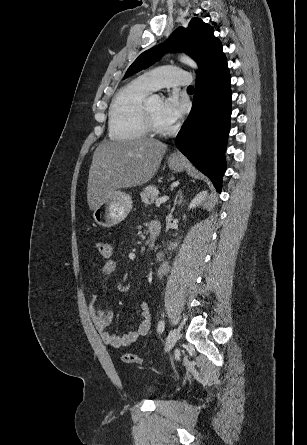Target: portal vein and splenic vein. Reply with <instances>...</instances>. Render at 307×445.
<instances>
[{"label":"portal vein and splenic vein","instance_id":"18ae733b","mask_svg":"<svg viewBox=\"0 0 307 445\" xmlns=\"http://www.w3.org/2000/svg\"><path fill=\"white\" fill-rule=\"evenodd\" d=\"M166 200H168V196H161V198H156L155 204L160 206L161 202H166Z\"/></svg>","mask_w":307,"mask_h":445}]
</instances>
